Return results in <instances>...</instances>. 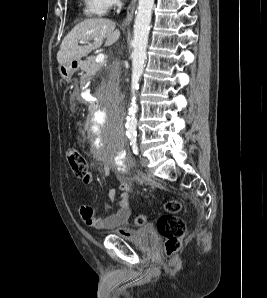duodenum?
<instances>
[{
    "instance_id": "1",
    "label": "duodenum",
    "mask_w": 267,
    "mask_h": 298,
    "mask_svg": "<svg viewBox=\"0 0 267 298\" xmlns=\"http://www.w3.org/2000/svg\"><path fill=\"white\" fill-rule=\"evenodd\" d=\"M99 93H92V98L89 100V104H86V109L88 112V115H97L98 107H95V105H100Z\"/></svg>"
}]
</instances>
